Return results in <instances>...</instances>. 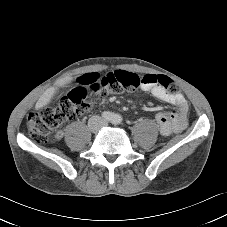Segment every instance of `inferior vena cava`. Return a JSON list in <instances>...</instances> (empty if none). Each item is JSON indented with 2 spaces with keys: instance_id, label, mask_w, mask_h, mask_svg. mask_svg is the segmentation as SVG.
I'll return each mask as SVG.
<instances>
[{
  "instance_id": "obj_1",
  "label": "inferior vena cava",
  "mask_w": 227,
  "mask_h": 227,
  "mask_svg": "<svg viewBox=\"0 0 227 227\" xmlns=\"http://www.w3.org/2000/svg\"><path fill=\"white\" fill-rule=\"evenodd\" d=\"M94 120L97 121V127L100 128L106 124L105 120L101 118L100 116H95Z\"/></svg>"
}]
</instances>
